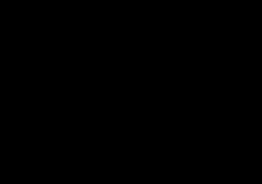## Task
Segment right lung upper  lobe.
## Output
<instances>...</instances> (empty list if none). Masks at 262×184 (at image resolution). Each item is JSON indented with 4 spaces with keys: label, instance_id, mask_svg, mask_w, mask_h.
I'll use <instances>...</instances> for the list:
<instances>
[{
    "label": "right lung upper lobe",
    "instance_id": "1",
    "mask_svg": "<svg viewBox=\"0 0 262 184\" xmlns=\"http://www.w3.org/2000/svg\"><path fill=\"white\" fill-rule=\"evenodd\" d=\"M112 26L103 22V21H90L84 23L77 31L70 35L69 37L76 36V35H88L95 38H99L105 32L111 31Z\"/></svg>",
    "mask_w": 262,
    "mask_h": 184
}]
</instances>
